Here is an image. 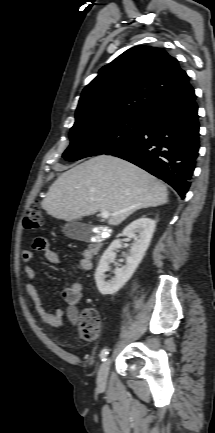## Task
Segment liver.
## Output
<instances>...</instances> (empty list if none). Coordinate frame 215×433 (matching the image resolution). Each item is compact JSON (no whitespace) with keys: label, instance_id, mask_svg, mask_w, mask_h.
Wrapping results in <instances>:
<instances>
[{"label":"liver","instance_id":"1","mask_svg":"<svg viewBox=\"0 0 215 433\" xmlns=\"http://www.w3.org/2000/svg\"><path fill=\"white\" fill-rule=\"evenodd\" d=\"M168 203L166 186L136 165L111 155L93 157L62 173L41 205L57 219L74 221L98 211L117 226L136 210Z\"/></svg>","mask_w":215,"mask_h":433}]
</instances>
